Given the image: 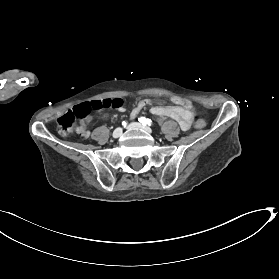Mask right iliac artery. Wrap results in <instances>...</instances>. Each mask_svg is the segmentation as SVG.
<instances>
[{
	"label": "right iliac artery",
	"mask_w": 279,
	"mask_h": 279,
	"mask_svg": "<svg viewBox=\"0 0 279 279\" xmlns=\"http://www.w3.org/2000/svg\"><path fill=\"white\" fill-rule=\"evenodd\" d=\"M122 125H123L124 127H126V125H127L126 121H123V122H122Z\"/></svg>",
	"instance_id": "obj_1"
}]
</instances>
